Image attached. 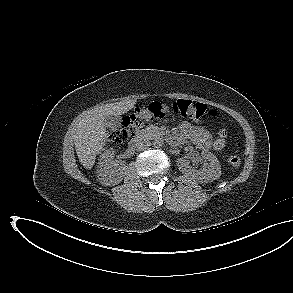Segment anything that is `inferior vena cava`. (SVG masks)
Masks as SVG:
<instances>
[{
	"instance_id": "1",
	"label": "inferior vena cava",
	"mask_w": 293,
	"mask_h": 293,
	"mask_svg": "<svg viewBox=\"0 0 293 293\" xmlns=\"http://www.w3.org/2000/svg\"><path fill=\"white\" fill-rule=\"evenodd\" d=\"M151 145V142L148 139H139L134 143L135 150H144Z\"/></svg>"
}]
</instances>
